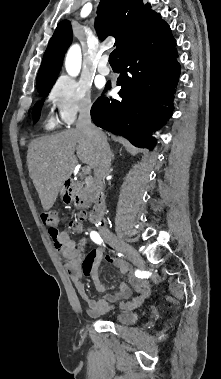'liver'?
Segmentation results:
<instances>
[{
  "label": "liver",
  "instance_id": "6515ba94",
  "mask_svg": "<svg viewBox=\"0 0 221 379\" xmlns=\"http://www.w3.org/2000/svg\"><path fill=\"white\" fill-rule=\"evenodd\" d=\"M77 157L95 168L97 142L77 128L36 138L29 144V174L45 211L54 205L61 187L73 173L78 163Z\"/></svg>",
  "mask_w": 221,
  "mask_h": 379
}]
</instances>
